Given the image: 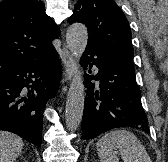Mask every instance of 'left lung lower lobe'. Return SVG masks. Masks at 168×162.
I'll list each match as a JSON object with an SVG mask.
<instances>
[{"label":"left lung lower lobe","instance_id":"obj_1","mask_svg":"<svg viewBox=\"0 0 168 162\" xmlns=\"http://www.w3.org/2000/svg\"><path fill=\"white\" fill-rule=\"evenodd\" d=\"M80 62L84 69L93 65L98 68L95 76L84 75L87 90L82 139H92L103 132L122 127L150 133L134 68L93 45H87ZM92 79L98 80L99 86L91 83Z\"/></svg>","mask_w":168,"mask_h":162}]
</instances>
